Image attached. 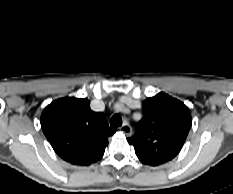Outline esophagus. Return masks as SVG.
<instances>
[{"label": "esophagus", "mask_w": 233, "mask_h": 194, "mask_svg": "<svg viewBox=\"0 0 233 194\" xmlns=\"http://www.w3.org/2000/svg\"><path fill=\"white\" fill-rule=\"evenodd\" d=\"M120 131H122L125 135L131 136L132 135V128L129 124H123L120 128Z\"/></svg>", "instance_id": "obj_1"}]
</instances>
